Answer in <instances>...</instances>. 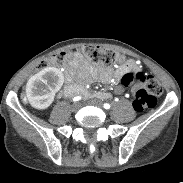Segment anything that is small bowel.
<instances>
[{"mask_svg":"<svg viewBox=\"0 0 183 183\" xmlns=\"http://www.w3.org/2000/svg\"><path fill=\"white\" fill-rule=\"evenodd\" d=\"M79 69L84 82H89L93 79H101V80L107 81V80H110L113 76L122 77L126 73L142 74L138 66L136 65V63L132 60L128 61L125 65L120 67L115 73L110 68H102L99 66L89 67L84 63H80ZM78 87H81L85 92L82 86H78ZM94 96L100 99H105L110 97L107 92H97L94 94Z\"/></svg>","mask_w":183,"mask_h":183,"instance_id":"small-bowel-1","label":"small bowel"}]
</instances>
